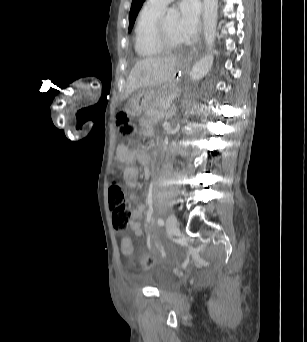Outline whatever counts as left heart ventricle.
Wrapping results in <instances>:
<instances>
[{
	"label": "left heart ventricle",
	"mask_w": 307,
	"mask_h": 342,
	"mask_svg": "<svg viewBox=\"0 0 307 342\" xmlns=\"http://www.w3.org/2000/svg\"><path fill=\"white\" fill-rule=\"evenodd\" d=\"M176 21L174 20H163V39L165 44L171 49H181L183 43L179 41L175 34Z\"/></svg>",
	"instance_id": "1"
}]
</instances>
